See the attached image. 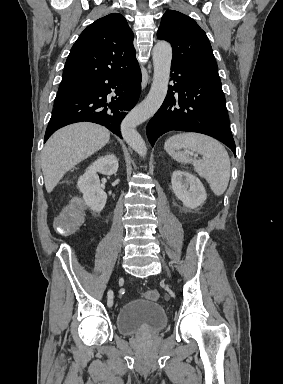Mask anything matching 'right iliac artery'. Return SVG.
I'll return each instance as SVG.
<instances>
[{
    "label": "right iliac artery",
    "instance_id": "1",
    "mask_svg": "<svg viewBox=\"0 0 283 384\" xmlns=\"http://www.w3.org/2000/svg\"><path fill=\"white\" fill-rule=\"evenodd\" d=\"M108 300H107V305L111 307L113 305V291L109 290L107 293Z\"/></svg>",
    "mask_w": 283,
    "mask_h": 384
}]
</instances>
